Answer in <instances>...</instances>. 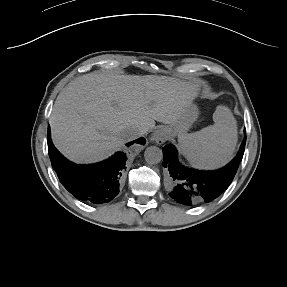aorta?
<instances>
[{"instance_id":"762f6f07","label":"aorta","mask_w":287,"mask_h":287,"mask_svg":"<svg viewBox=\"0 0 287 287\" xmlns=\"http://www.w3.org/2000/svg\"><path fill=\"white\" fill-rule=\"evenodd\" d=\"M144 158L148 164H158L163 158L162 150L157 146H149L145 149Z\"/></svg>"}]
</instances>
